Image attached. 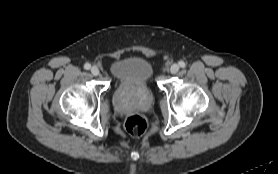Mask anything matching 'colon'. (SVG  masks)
<instances>
[{
    "label": "colon",
    "mask_w": 278,
    "mask_h": 174,
    "mask_svg": "<svg viewBox=\"0 0 278 174\" xmlns=\"http://www.w3.org/2000/svg\"><path fill=\"white\" fill-rule=\"evenodd\" d=\"M125 129L134 136L142 135L148 127V121L140 113L129 115L124 122Z\"/></svg>",
    "instance_id": "5ec220e1"
}]
</instances>
